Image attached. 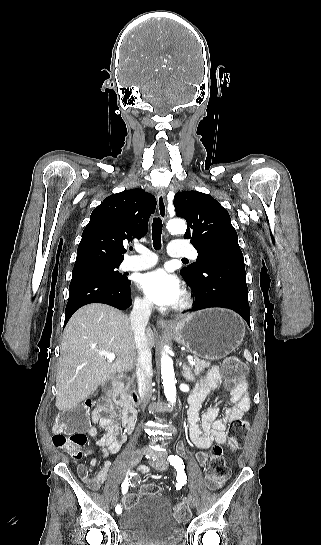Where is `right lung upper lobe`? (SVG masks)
<instances>
[{
    "mask_svg": "<svg viewBox=\"0 0 321 545\" xmlns=\"http://www.w3.org/2000/svg\"><path fill=\"white\" fill-rule=\"evenodd\" d=\"M156 207L155 197L135 188L107 197L92 211L82 233L74 269L121 264L126 252L123 242L140 239Z\"/></svg>",
    "mask_w": 321,
    "mask_h": 545,
    "instance_id": "right-lung-upper-lobe-1",
    "label": "right lung upper lobe"
}]
</instances>
